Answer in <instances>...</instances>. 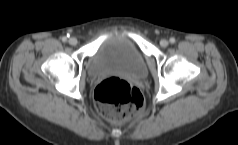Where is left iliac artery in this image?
<instances>
[{
    "instance_id": "obj_1",
    "label": "left iliac artery",
    "mask_w": 238,
    "mask_h": 145,
    "mask_svg": "<svg viewBox=\"0 0 238 145\" xmlns=\"http://www.w3.org/2000/svg\"><path fill=\"white\" fill-rule=\"evenodd\" d=\"M169 41H170L171 44H174L175 43V38L171 37Z\"/></svg>"
}]
</instances>
